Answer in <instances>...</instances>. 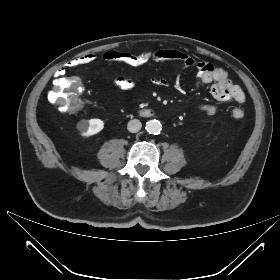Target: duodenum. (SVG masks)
Here are the masks:
<instances>
[{
    "label": "duodenum",
    "instance_id": "duodenum-1",
    "mask_svg": "<svg viewBox=\"0 0 280 280\" xmlns=\"http://www.w3.org/2000/svg\"><path fill=\"white\" fill-rule=\"evenodd\" d=\"M140 113L144 117H150L153 115V111H151L150 109H142Z\"/></svg>",
    "mask_w": 280,
    "mask_h": 280
}]
</instances>
